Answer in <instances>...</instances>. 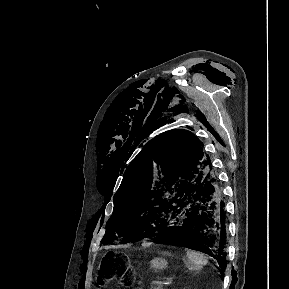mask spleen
I'll use <instances>...</instances> for the list:
<instances>
[{"instance_id":"obj_1","label":"spleen","mask_w":289,"mask_h":289,"mask_svg":"<svg viewBox=\"0 0 289 289\" xmlns=\"http://www.w3.org/2000/svg\"><path fill=\"white\" fill-rule=\"evenodd\" d=\"M186 254V265L191 270H200L208 262L206 257L199 252L187 249Z\"/></svg>"}]
</instances>
